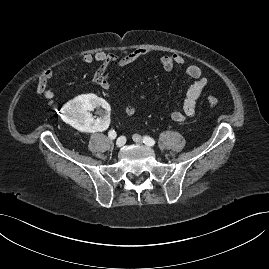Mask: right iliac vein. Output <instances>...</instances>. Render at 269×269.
Wrapping results in <instances>:
<instances>
[{"instance_id":"obj_1","label":"right iliac vein","mask_w":269,"mask_h":269,"mask_svg":"<svg viewBox=\"0 0 269 269\" xmlns=\"http://www.w3.org/2000/svg\"><path fill=\"white\" fill-rule=\"evenodd\" d=\"M125 142H126V138L121 136L117 139L116 146L120 148V147L124 146Z\"/></svg>"}]
</instances>
